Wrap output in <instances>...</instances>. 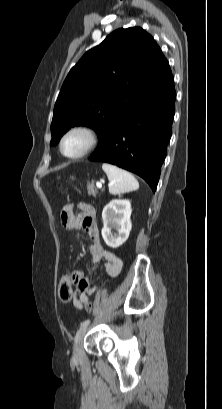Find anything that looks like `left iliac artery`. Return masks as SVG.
I'll use <instances>...</instances> for the list:
<instances>
[{
	"label": "left iliac artery",
	"instance_id": "1",
	"mask_svg": "<svg viewBox=\"0 0 222 409\" xmlns=\"http://www.w3.org/2000/svg\"><path fill=\"white\" fill-rule=\"evenodd\" d=\"M89 323H90V320H89V319H88V320H85L84 322L81 323V327H83V326H88Z\"/></svg>",
	"mask_w": 222,
	"mask_h": 409
}]
</instances>
